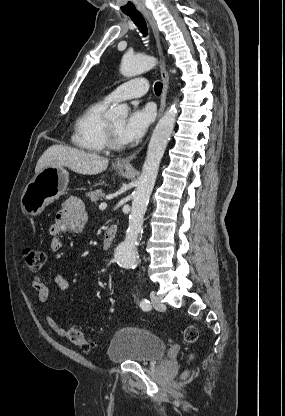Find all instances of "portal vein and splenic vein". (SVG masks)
Wrapping results in <instances>:
<instances>
[{"instance_id":"1","label":"portal vein and splenic vein","mask_w":285,"mask_h":416,"mask_svg":"<svg viewBox=\"0 0 285 416\" xmlns=\"http://www.w3.org/2000/svg\"><path fill=\"white\" fill-rule=\"evenodd\" d=\"M105 208H107L106 202H103V204H100L99 210H105Z\"/></svg>"}]
</instances>
